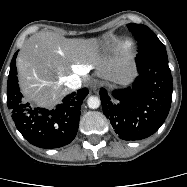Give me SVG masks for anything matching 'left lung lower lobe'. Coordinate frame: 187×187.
Segmentation results:
<instances>
[{
    "mask_svg": "<svg viewBox=\"0 0 187 187\" xmlns=\"http://www.w3.org/2000/svg\"><path fill=\"white\" fill-rule=\"evenodd\" d=\"M138 77L128 88L112 95L100 89L105 116L123 140H141L154 134L164 123L172 99V75L168 58L138 52Z\"/></svg>",
    "mask_w": 187,
    "mask_h": 187,
    "instance_id": "obj_1",
    "label": "left lung lower lobe"
}]
</instances>
